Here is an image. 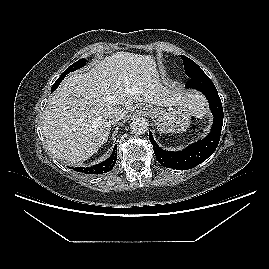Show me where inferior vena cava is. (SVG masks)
I'll return each mask as SVG.
<instances>
[{
    "mask_svg": "<svg viewBox=\"0 0 269 269\" xmlns=\"http://www.w3.org/2000/svg\"><path fill=\"white\" fill-rule=\"evenodd\" d=\"M124 115H125V111L123 109H120V108L113 109L109 113L108 121L112 125H115L118 123V121H120L124 117Z\"/></svg>",
    "mask_w": 269,
    "mask_h": 269,
    "instance_id": "1",
    "label": "inferior vena cava"
}]
</instances>
